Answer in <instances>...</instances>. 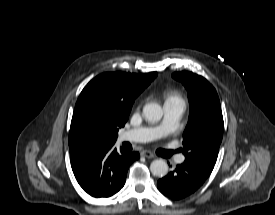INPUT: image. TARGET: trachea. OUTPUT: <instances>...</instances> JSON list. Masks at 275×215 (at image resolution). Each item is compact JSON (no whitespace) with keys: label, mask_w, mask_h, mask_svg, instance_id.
<instances>
[{"label":"trachea","mask_w":275,"mask_h":215,"mask_svg":"<svg viewBox=\"0 0 275 215\" xmlns=\"http://www.w3.org/2000/svg\"><path fill=\"white\" fill-rule=\"evenodd\" d=\"M175 151H167V150H162V156L165 158H169Z\"/></svg>","instance_id":"1"}]
</instances>
